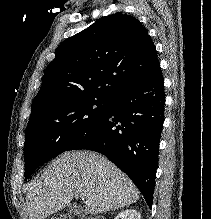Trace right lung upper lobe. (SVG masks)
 <instances>
[{"instance_id":"cb5924a9","label":"right lung upper lobe","mask_w":211,"mask_h":219,"mask_svg":"<svg viewBox=\"0 0 211 219\" xmlns=\"http://www.w3.org/2000/svg\"><path fill=\"white\" fill-rule=\"evenodd\" d=\"M157 63L155 46L135 17L121 12L106 16L57 47L30 119L83 98L111 100Z\"/></svg>"}]
</instances>
